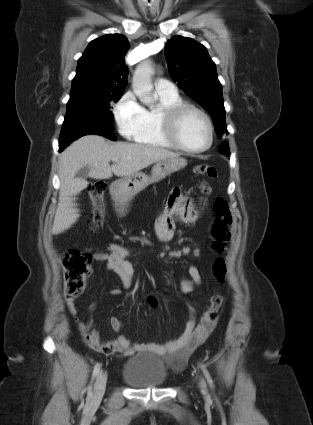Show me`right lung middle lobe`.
Masks as SVG:
<instances>
[{"mask_svg": "<svg viewBox=\"0 0 313 425\" xmlns=\"http://www.w3.org/2000/svg\"><path fill=\"white\" fill-rule=\"evenodd\" d=\"M120 93H96V94H80L71 96L67 103V113L65 119L68 120L73 113H85L99 115L104 120L112 121L114 115L110 111L112 108L110 103H117L122 97Z\"/></svg>", "mask_w": 313, "mask_h": 425, "instance_id": "obj_1", "label": "right lung middle lobe"}]
</instances>
